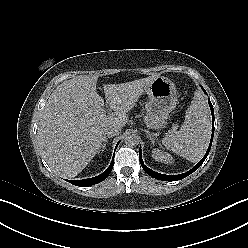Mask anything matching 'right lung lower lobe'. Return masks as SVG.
<instances>
[{
  "label": "right lung lower lobe",
  "mask_w": 248,
  "mask_h": 248,
  "mask_svg": "<svg viewBox=\"0 0 248 248\" xmlns=\"http://www.w3.org/2000/svg\"><path fill=\"white\" fill-rule=\"evenodd\" d=\"M118 144H119V142L117 143L116 148H117ZM116 148H115V150H116ZM113 164H114V157L112 159L110 166L102 174H100L96 177H93V178H88V179H83V180H74V181L68 180V182H70L73 185L80 186V187H87V186L97 184V183L105 180L108 177V175L110 174V172L113 168Z\"/></svg>",
  "instance_id": "obj_1"
}]
</instances>
